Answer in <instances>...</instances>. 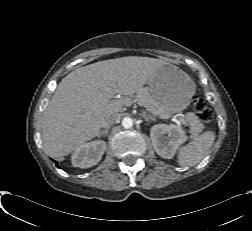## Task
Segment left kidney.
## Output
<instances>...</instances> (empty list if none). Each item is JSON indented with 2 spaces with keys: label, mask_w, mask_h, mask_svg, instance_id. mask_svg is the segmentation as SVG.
<instances>
[{
  "label": "left kidney",
  "mask_w": 252,
  "mask_h": 231,
  "mask_svg": "<svg viewBox=\"0 0 252 231\" xmlns=\"http://www.w3.org/2000/svg\"><path fill=\"white\" fill-rule=\"evenodd\" d=\"M150 137L156 153L166 159L173 158L178 147L187 139L185 131L173 124L152 126Z\"/></svg>",
  "instance_id": "obj_1"
}]
</instances>
